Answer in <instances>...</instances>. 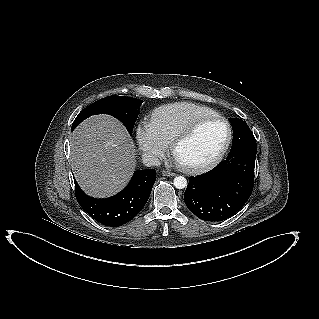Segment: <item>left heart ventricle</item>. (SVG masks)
I'll list each match as a JSON object with an SVG mask.
<instances>
[{
    "label": "left heart ventricle",
    "instance_id": "obj_1",
    "mask_svg": "<svg viewBox=\"0 0 319 319\" xmlns=\"http://www.w3.org/2000/svg\"><path fill=\"white\" fill-rule=\"evenodd\" d=\"M226 138V127L217 119L209 120L175 150V159L187 165L202 164L210 160L220 149Z\"/></svg>",
    "mask_w": 319,
    "mask_h": 319
}]
</instances>
